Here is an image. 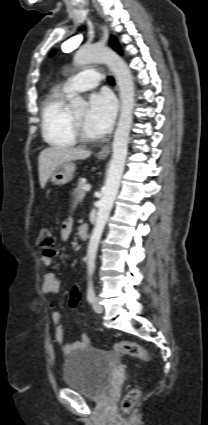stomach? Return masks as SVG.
Here are the masks:
<instances>
[{
    "label": "stomach",
    "mask_w": 208,
    "mask_h": 425,
    "mask_svg": "<svg viewBox=\"0 0 208 425\" xmlns=\"http://www.w3.org/2000/svg\"><path fill=\"white\" fill-rule=\"evenodd\" d=\"M76 166L72 162L60 164L51 174V182L54 185H64L70 182L74 176Z\"/></svg>",
    "instance_id": "obj_1"
}]
</instances>
